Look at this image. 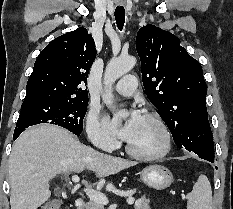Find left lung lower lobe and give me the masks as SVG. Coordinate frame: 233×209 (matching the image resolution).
Wrapping results in <instances>:
<instances>
[{"label": "left lung lower lobe", "mask_w": 233, "mask_h": 209, "mask_svg": "<svg viewBox=\"0 0 233 209\" xmlns=\"http://www.w3.org/2000/svg\"><path fill=\"white\" fill-rule=\"evenodd\" d=\"M202 159H205V160L210 161V162H214V159H213V158L205 157V158H202Z\"/></svg>", "instance_id": "0a47b994"}]
</instances>
